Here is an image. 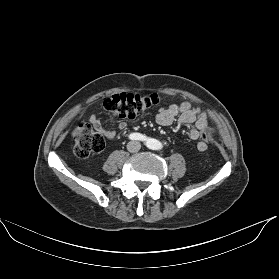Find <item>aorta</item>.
Here are the masks:
<instances>
[{"label": "aorta", "mask_w": 279, "mask_h": 279, "mask_svg": "<svg viewBox=\"0 0 279 279\" xmlns=\"http://www.w3.org/2000/svg\"><path fill=\"white\" fill-rule=\"evenodd\" d=\"M157 147L158 149L161 148V144L159 142L157 143Z\"/></svg>", "instance_id": "obj_1"}]
</instances>
